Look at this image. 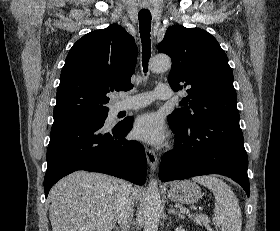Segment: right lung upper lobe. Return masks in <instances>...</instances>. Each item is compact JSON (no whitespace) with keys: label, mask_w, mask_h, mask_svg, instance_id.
<instances>
[{"label":"right lung upper lobe","mask_w":280,"mask_h":231,"mask_svg":"<svg viewBox=\"0 0 280 231\" xmlns=\"http://www.w3.org/2000/svg\"><path fill=\"white\" fill-rule=\"evenodd\" d=\"M137 55L134 38L117 24L79 39L62 68L53 125L108 113L106 94L133 87Z\"/></svg>","instance_id":"1"}]
</instances>
